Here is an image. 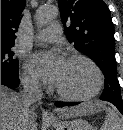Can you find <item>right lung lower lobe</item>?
<instances>
[{
	"label": "right lung lower lobe",
	"instance_id": "98d812e1",
	"mask_svg": "<svg viewBox=\"0 0 123 130\" xmlns=\"http://www.w3.org/2000/svg\"><path fill=\"white\" fill-rule=\"evenodd\" d=\"M19 76L1 71V84L10 88H16L20 84Z\"/></svg>",
	"mask_w": 123,
	"mask_h": 130
}]
</instances>
